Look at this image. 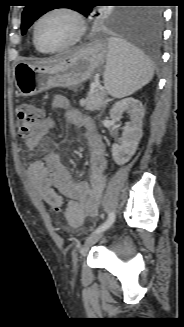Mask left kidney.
<instances>
[{"mask_svg":"<svg viewBox=\"0 0 184 327\" xmlns=\"http://www.w3.org/2000/svg\"><path fill=\"white\" fill-rule=\"evenodd\" d=\"M125 111L129 112L130 121L123 127L121 145L113 144L112 156L116 164L124 165L135 154L142 137V120L144 107L139 100L132 97L122 99L114 104L110 110V117L119 121Z\"/></svg>","mask_w":184,"mask_h":327,"instance_id":"5707ae66","label":"left kidney"}]
</instances>
